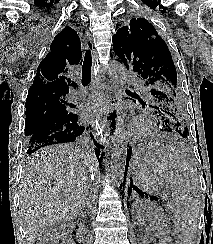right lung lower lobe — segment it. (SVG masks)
<instances>
[{
	"mask_svg": "<svg viewBox=\"0 0 213 244\" xmlns=\"http://www.w3.org/2000/svg\"><path fill=\"white\" fill-rule=\"evenodd\" d=\"M84 129L85 128L79 124L77 114H73L70 117H63L27 138V153L32 154L42 147L53 144L73 142L77 137L82 135ZM94 144L97 147L95 148V153L97 157H99L100 150L98 148L100 145L95 141ZM99 161H101V159Z\"/></svg>",
	"mask_w": 213,
	"mask_h": 244,
	"instance_id": "right-lung-lower-lobe-1",
	"label": "right lung lower lobe"
}]
</instances>
